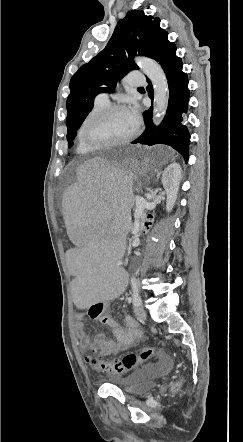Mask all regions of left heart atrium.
<instances>
[{
    "label": "left heart atrium",
    "instance_id": "39dd6f15",
    "mask_svg": "<svg viewBox=\"0 0 243 442\" xmlns=\"http://www.w3.org/2000/svg\"><path fill=\"white\" fill-rule=\"evenodd\" d=\"M129 117L133 123V125L136 127L140 120L139 111L136 106L131 107L129 110H127Z\"/></svg>",
    "mask_w": 243,
    "mask_h": 442
}]
</instances>
